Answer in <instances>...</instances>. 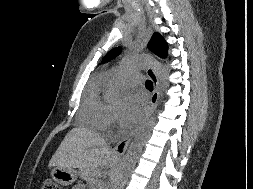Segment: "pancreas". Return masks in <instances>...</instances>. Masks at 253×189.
<instances>
[{"label":"pancreas","mask_w":253,"mask_h":189,"mask_svg":"<svg viewBox=\"0 0 253 189\" xmlns=\"http://www.w3.org/2000/svg\"><path fill=\"white\" fill-rule=\"evenodd\" d=\"M81 178L89 183L95 182L97 179V172L91 168H81Z\"/></svg>","instance_id":"cf45deb5"}]
</instances>
